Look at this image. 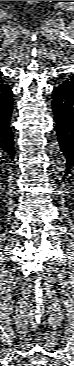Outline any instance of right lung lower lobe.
Returning <instances> with one entry per match:
<instances>
[{
  "instance_id": "right-lung-lower-lobe-1",
  "label": "right lung lower lobe",
  "mask_w": 74,
  "mask_h": 366,
  "mask_svg": "<svg viewBox=\"0 0 74 366\" xmlns=\"http://www.w3.org/2000/svg\"><path fill=\"white\" fill-rule=\"evenodd\" d=\"M13 93L10 86L1 79L0 74V153L14 159L15 149L10 118L13 111Z\"/></svg>"
}]
</instances>
